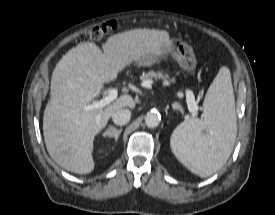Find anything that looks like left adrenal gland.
Instances as JSON below:
<instances>
[{"label": "left adrenal gland", "instance_id": "1", "mask_svg": "<svg viewBox=\"0 0 275 215\" xmlns=\"http://www.w3.org/2000/svg\"><path fill=\"white\" fill-rule=\"evenodd\" d=\"M172 108L173 110H177V111H180L182 113V107L179 103L175 102L173 105H172Z\"/></svg>", "mask_w": 275, "mask_h": 215}]
</instances>
